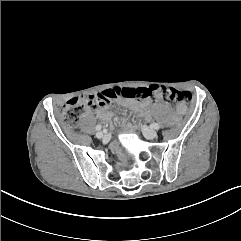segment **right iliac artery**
<instances>
[{
  "label": "right iliac artery",
  "instance_id": "right-iliac-artery-1",
  "mask_svg": "<svg viewBox=\"0 0 241 241\" xmlns=\"http://www.w3.org/2000/svg\"><path fill=\"white\" fill-rule=\"evenodd\" d=\"M101 128H102V126L100 125V124H98L97 126H96V130H101Z\"/></svg>",
  "mask_w": 241,
  "mask_h": 241
}]
</instances>
